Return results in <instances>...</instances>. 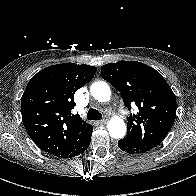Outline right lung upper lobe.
Returning <instances> with one entry per match:
<instances>
[{
    "label": "right lung upper lobe",
    "mask_w": 196,
    "mask_h": 196,
    "mask_svg": "<svg viewBox=\"0 0 196 196\" xmlns=\"http://www.w3.org/2000/svg\"><path fill=\"white\" fill-rule=\"evenodd\" d=\"M96 70L85 64L64 63L49 66L31 78L21 98L22 121L39 148L57 155L92 128L71 110L74 93L93 78Z\"/></svg>",
    "instance_id": "1"
}]
</instances>
